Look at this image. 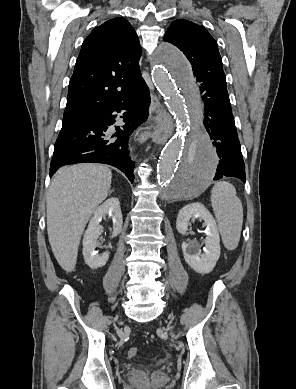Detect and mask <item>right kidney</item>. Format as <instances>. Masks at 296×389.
Wrapping results in <instances>:
<instances>
[{"mask_svg":"<svg viewBox=\"0 0 296 389\" xmlns=\"http://www.w3.org/2000/svg\"><path fill=\"white\" fill-rule=\"evenodd\" d=\"M112 217L113 221V236H117L121 233L123 225V217L120 208V202L118 198L111 197L107 199L101 206H99L91 218L88 228L85 231L83 237V256L85 263L92 269H98L103 267L108 259L109 252H104L102 255H98L95 251L97 244V238L101 234L100 222L106 216Z\"/></svg>","mask_w":296,"mask_h":389,"instance_id":"ca27d5eb","label":"right kidney"}]
</instances>
